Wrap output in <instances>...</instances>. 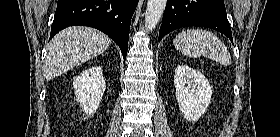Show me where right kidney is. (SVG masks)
Listing matches in <instances>:
<instances>
[{"label": "right kidney", "mask_w": 280, "mask_h": 137, "mask_svg": "<svg viewBox=\"0 0 280 137\" xmlns=\"http://www.w3.org/2000/svg\"><path fill=\"white\" fill-rule=\"evenodd\" d=\"M76 100L85 114L93 115L99 107L106 89L101 67L94 66L83 71L73 81Z\"/></svg>", "instance_id": "right-kidney-1"}]
</instances>
